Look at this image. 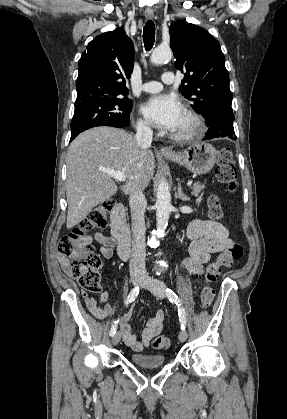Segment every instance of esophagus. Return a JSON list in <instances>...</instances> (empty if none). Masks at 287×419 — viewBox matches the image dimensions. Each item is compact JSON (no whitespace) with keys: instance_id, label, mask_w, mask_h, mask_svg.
<instances>
[{"instance_id":"obj_1","label":"esophagus","mask_w":287,"mask_h":419,"mask_svg":"<svg viewBox=\"0 0 287 419\" xmlns=\"http://www.w3.org/2000/svg\"><path fill=\"white\" fill-rule=\"evenodd\" d=\"M145 17L147 19H153L154 18V13L153 11H146L145 12ZM159 152L164 153V154H173L174 151L168 147L165 146H160L159 148Z\"/></svg>"}]
</instances>
